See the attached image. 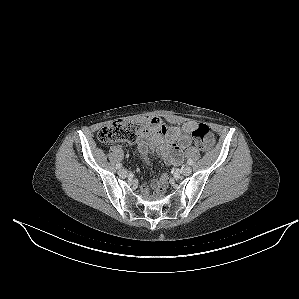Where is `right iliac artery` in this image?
Here are the masks:
<instances>
[{"label":"right iliac artery","mask_w":299,"mask_h":299,"mask_svg":"<svg viewBox=\"0 0 299 299\" xmlns=\"http://www.w3.org/2000/svg\"><path fill=\"white\" fill-rule=\"evenodd\" d=\"M122 167V164H120V163H118L117 165H116V168L117 169H120Z\"/></svg>","instance_id":"obj_1"}]
</instances>
